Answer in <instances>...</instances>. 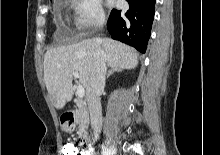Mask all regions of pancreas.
Returning a JSON list of instances; mask_svg holds the SVG:
<instances>
[{
    "mask_svg": "<svg viewBox=\"0 0 220 155\" xmlns=\"http://www.w3.org/2000/svg\"><path fill=\"white\" fill-rule=\"evenodd\" d=\"M76 124L79 126L80 132L84 131L89 124V116L86 105L83 102L77 104Z\"/></svg>",
    "mask_w": 220,
    "mask_h": 155,
    "instance_id": "obj_1",
    "label": "pancreas"
}]
</instances>
